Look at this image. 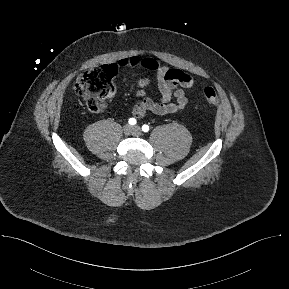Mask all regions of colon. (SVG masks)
Listing matches in <instances>:
<instances>
[{"label": "colon", "mask_w": 289, "mask_h": 289, "mask_svg": "<svg viewBox=\"0 0 289 289\" xmlns=\"http://www.w3.org/2000/svg\"><path fill=\"white\" fill-rule=\"evenodd\" d=\"M114 74V66H102L86 71L77 79L75 92L85 99L91 111L102 112L106 108V101L115 93L112 81ZM203 95L211 105L219 103L217 93L212 87L204 88Z\"/></svg>", "instance_id": "1"}]
</instances>
